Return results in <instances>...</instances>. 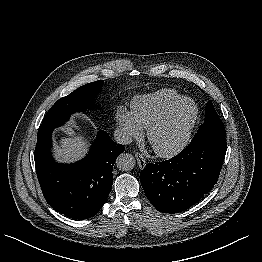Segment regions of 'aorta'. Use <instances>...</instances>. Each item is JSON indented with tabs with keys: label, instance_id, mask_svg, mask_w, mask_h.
<instances>
[{
	"label": "aorta",
	"instance_id": "obj_1",
	"mask_svg": "<svg viewBox=\"0 0 262 262\" xmlns=\"http://www.w3.org/2000/svg\"><path fill=\"white\" fill-rule=\"evenodd\" d=\"M116 164L119 170L129 171L135 166V159L131 154L122 153L118 156Z\"/></svg>",
	"mask_w": 262,
	"mask_h": 262
}]
</instances>
